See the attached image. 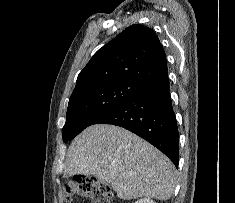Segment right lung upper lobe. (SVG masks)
Wrapping results in <instances>:
<instances>
[{"label":"right lung upper lobe","instance_id":"cb5924a9","mask_svg":"<svg viewBox=\"0 0 235 203\" xmlns=\"http://www.w3.org/2000/svg\"><path fill=\"white\" fill-rule=\"evenodd\" d=\"M166 74V55L158 37L151 28L136 24L93 55L79 73L74 91L116 80L147 85Z\"/></svg>","mask_w":235,"mask_h":203}]
</instances>
